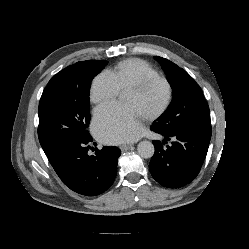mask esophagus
Segmentation results:
<instances>
[{
	"instance_id": "esophagus-1",
	"label": "esophagus",
	"mask_w": 249,
	"mask_h": 249,
	"mask_svg": "<svg viewBox=\"0 0 249 249\" xmlns=\"http://www.w3.org/2000/svg\"><path fill=\"white\" fill-rule=\"evenodd\" d=\"M131 147H132L131 144H123V145H120V150H121L122 152H126V151L129 150Z\"/></svg>"
}]
</instances>
